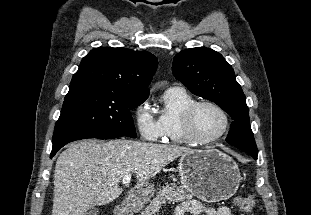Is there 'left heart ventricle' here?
Returning <instances> with one entry per match:
<instances>
[{
	"mask_svg": "<svg viewBox=\"0 0 311 215\" xmlns=\"http://www.w3.org/2000/svg\"><path fill=\"white\" fill-rule=\"evenodd\" d=\"M223 117L220 112L211 106L200 107L194 118L196 134L201 138H211L223 128Z\"/></svg>",
	"mask_w": 311,
	"mask_h": 215,
	"instance_id": "left-heart-ventricle-1",
	"label": "left heart ventricle"
}]
</instances>
